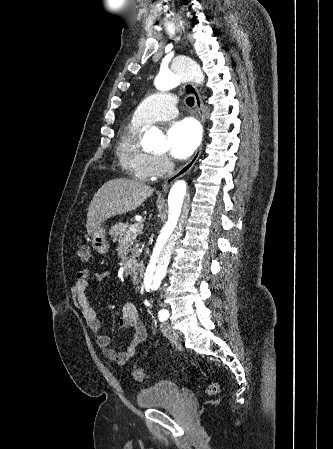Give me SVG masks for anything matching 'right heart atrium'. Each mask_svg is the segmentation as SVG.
I'll use <instances>...</instances> for the list:
<instances>
[{"instance_id": "1", "label": "right heart atrium", "mask_w": 333, "mask_h": 449, "mask_svg": "<svg viewBox=\"0 0 333 449\" xmlns=\"http://www.w3.org/2000/svg\"><path fill=\"white\" fill-rule=\"evenodd\" d=\"M152 167L155 176L158 177L169 173L172 164L166 155L157 154L152 157Z\"/></svg>"}]
</instances>
